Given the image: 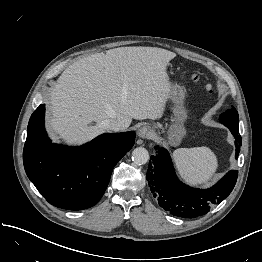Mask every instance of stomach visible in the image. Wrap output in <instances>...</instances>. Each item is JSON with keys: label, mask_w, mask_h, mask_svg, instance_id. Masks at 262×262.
Here are the masks:
<instances>
[{"label": "stomach", "mask_w": 262, "mask_h": 262, "mask_svg": "<svg viewBox=\"0 0 262 262\" xmlns=\"http://www.w3.org/2000/svg\"><path fill=\"white\" fill-rule=\"evenodd\" d=\"M185 90L178 84L170 85L169 100L172 102V123L167 129V142L170 146H178L186 136L184 122L188 115L184 107Z\"/></svg>", "instance_id": "1"}]
</instances>
